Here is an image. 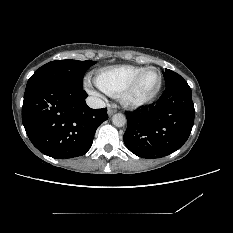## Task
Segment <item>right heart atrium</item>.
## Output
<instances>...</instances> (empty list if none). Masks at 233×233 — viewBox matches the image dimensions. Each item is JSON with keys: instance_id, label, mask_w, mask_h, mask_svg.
Instances as JSON below:
<instances>
[{"instance_id": "1", "label": "right heart atrium", "mask_w": 233, "mask_h": 233, "mask_svg": "<svg viewBox=\"0 0 233 233\" xmlns=\"http://www.w3.org/2000/svg\"><path fill=\"white\" fill-rule=\"evenodd\" d=\"M87 88L89 92L95 96H99L98 92L92 87L91 83L89 81L86 82Z\"/></svg>"}]
</instances>
